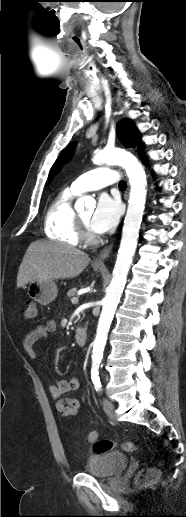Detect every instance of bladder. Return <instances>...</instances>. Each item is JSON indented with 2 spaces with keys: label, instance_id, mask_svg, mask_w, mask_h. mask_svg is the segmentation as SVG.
<instances>
[{
  "label": "bladder",
  "instance_id": "obj_1",
  "mask_svg": "<svg viewBox=\"0 0 186 517\" xmlns=\"http://www.w3.org/2000/svg\"><path fill=\"white\" fill-rule=\"evenodd\" d=\"M129 456L119 452H109L92 457L86 472L98 478H110L120 474L128 465Z\"/></svg>",
  "mask_w": 186,
  "mask_h": 517
}]
</instances>
